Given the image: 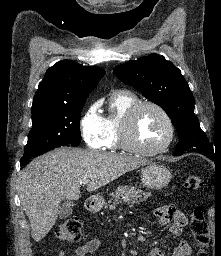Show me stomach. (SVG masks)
I'll list each match as a JSON object with an SVG mask.
<instances>
[{"label":"stomach","instance_id":"0dacf381","mask_svg":"<svg viewBox=\"0 0 221 256\" xmlns=\"http://www.w3.org/2000/svg\"><path fill=\"white\" fill-rule=\"evenodd\" d=\"M172 175L170 171L157 163H150L141 171V181L149 189L159 190L166 187L170 182ZM104 205V199L101 196L92 197V210L99 211Z\"/></svg>","mask_w":221,"mask_h":256}]
</instances>
